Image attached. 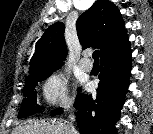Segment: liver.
Instances as JSON below:
<instances>
[{"label": "liver", "instance_id": "liver-1", "mask_svg": "<svg viewBox=\"0 0 153 134\" xmlns=\"http://www.w3.org/2000/svg\"><path fill=\"white\" fill-rule=\"evenodd\" d=\"M13 134H69L68 125L56 121H35L16 127Z\"/></svg>", "mask_w": 153, "mask_h": 134}]
</instances>
